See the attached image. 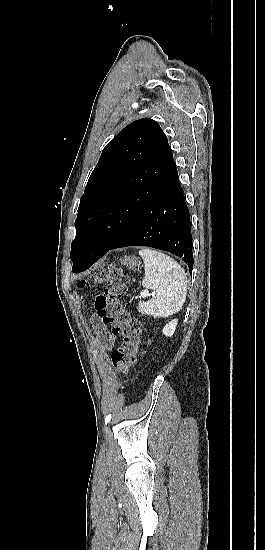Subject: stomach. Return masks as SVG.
<instances>
[{
    "instance_id": "stomach-1",
    "label": "stomach",
    "mask_w": 265,
    "mask_h": 550,
    "mask_svg": "<svg viewBox=\"0 0 265 550\" xmlns=\"http://www.w3.org/2000/svg\"><path fill=\"white\" fill-rule=\"evenodd\" d=\"M121 263L124 265L129 266L130 268H134L138 264V259L136 257H124L121 259Z\"/></svg>"
}]
</instances>
